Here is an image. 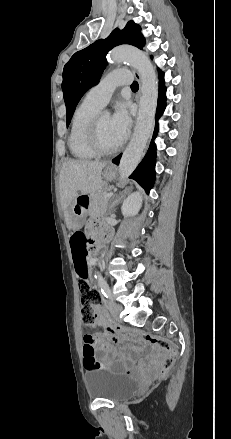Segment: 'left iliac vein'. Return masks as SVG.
Wrapping results in <instances>:
<instances>
[{
  "label": "left iliac vein",
  "mask_w": 231,
  "mask_h": 439,
  "mask_svg": "<svg viewBox=\"0 0 231 439\" xmlns=\"http://www.w3.org/2000/svg\"><path fill=\"white\" fill-rule=\"evenodd\" d=\"M108 304H109V311L113 316V318H115L116 320H120L119 313L122 310V307L116 304L115 302H113V300H108Z\"/></svg>",
  "instance_id": "1"
}]
</instances>
